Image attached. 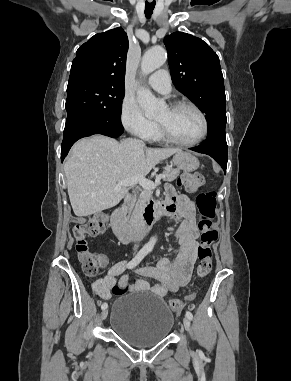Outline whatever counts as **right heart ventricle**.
I'll list each match as a JSON object with an SVG mask.
<instances>
[{
	"mask_svg": "<svg viewBox=\"0 0 291 381\" xmlns=\"http://www.w3.org/2000/svg\"><path fill=\"white\" fill-rule=\"evenodd\" d=\"M150 139H152V140H161L162 139V137L159 135V133H158V131L156 130L155 132H154V134L150 137Z\"/></svg>",
	"mask_w": 291,
	"mask_h": 381,
	"instance_id": "e07e8e85",
	"label": "right heart ventricle"
}]
</instances>
